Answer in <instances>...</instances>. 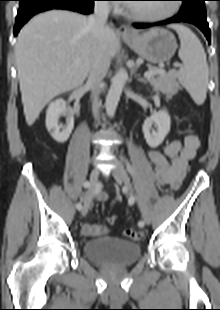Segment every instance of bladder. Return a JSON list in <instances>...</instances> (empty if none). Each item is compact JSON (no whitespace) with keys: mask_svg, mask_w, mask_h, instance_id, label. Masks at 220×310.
Masks as SVG:
<instances>
[{"mask_svg":"<svg viewBox=\"0 0 220 310\" xmlns=\"http://www.w3.org/2000/svg\"><path fill=\"white\" fill-rule=\"evenodd\" d=\"M85 256L102 266H128L141 256V245L117 237H103L83 243Z\"/></svg>","mask_w":220,"mask_h":310,"instance_id":"31cf9c89","label":"bladder"}]
</instances>
